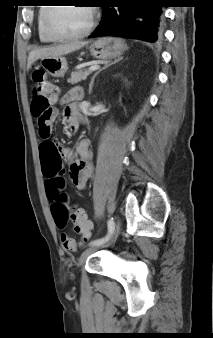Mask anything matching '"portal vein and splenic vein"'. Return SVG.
Instances as JSON below:
<instances>
[{
    "mask_svg": "<svg viewBox=\"0 0 213 338\" xmlns=\"http://www.w3.org/2000/svg\"><path fill=\"white\" fill-rule=\"evenodd\" d=\"M99 65H93V66H90L89 68H88V71H95V70H97V69H99Z\"/></svg>",
    "mask_w": 213,
    "mask_h": 338,
    "instance_id": "18ae733b",
    "label": "portal vein and splenic vein"
}]
</instances>
